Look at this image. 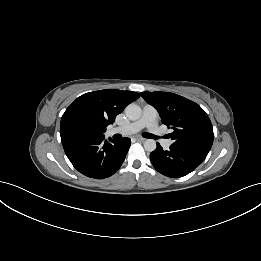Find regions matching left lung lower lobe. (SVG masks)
<instances>
[{"instance_id":"left-lung-lower-lobe-1","label":"left lung lower lobe","mask_w":261,"mask_h":261,"mask_svg":"<svg viewBox=\"0 0 261 261\" xmlns=\"http://www.w3.org/2000/svg\"><path fill=\"white\" fill-rule=\"evenodd\" d=\"M209 150L172 144L169 150H163L159 143L150 154V160L154 168L161 174L179 178L192 172L206 158Z\"/></svg>"}]
</instances>
